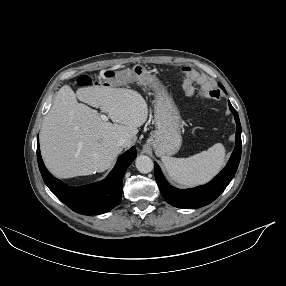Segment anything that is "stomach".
Returning <instances> with one entry per match:
<instances>
[{"instance_id":"0dacf381","label":"stomach","mask_w":286,"mask_h":286,"mask_svg":"<svg viewBox=\"0 0 286 286\" xmlns=\"http://www.w3.org/2000/svg\"><path fill=\"white\" fill-rule=\"evenodd\" d=\"M110 84L115 81H137L151 87L155 92L154 124L155 130L147 140L157 156H170L176 154L182 144L180 112L167 93L159 79L147 67L137 64L126 69L108 80Z\"/></svg>"}]
</instances>
